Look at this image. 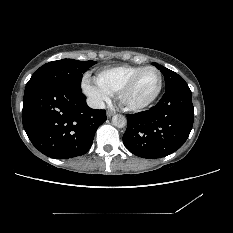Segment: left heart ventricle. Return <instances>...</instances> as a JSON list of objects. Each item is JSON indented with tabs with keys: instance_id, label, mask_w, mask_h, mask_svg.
<instances>
[{
	"instance_id": "left-heart-ventricle-1",
	"label": "left heart ventricle",
	"mask_w": 233,
	"mask_h": 233,
	"mask_svg": "<svg viewBox=\"0 0 233 233\" xmlns=\"http://www.w3.org/2000/svg\"><path fill=\"white\" fill-rule=\"evenodd\" d=\"M159 84V77L156 71H146L136 82L134 87L127 94V102L139 104L154 95Z\"/></svg>"
}]
</instances>
